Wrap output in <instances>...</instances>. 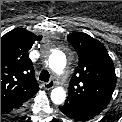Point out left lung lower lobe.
I'll return each instance as SVG.
<instances>
[{
	"instance_id": "obj_1",
	"label": "left lung lower lobe",
	"mask_w": 122,
	"mask_h": 122,
	"mask_svg": "<svg viewBox=\"0 0 122 122\" xmlns=\"http://www.w3.org/2000/svg\"><path fill=\"white\" fill-rule=\"evenodd\" d=\"M59 109L63 114L77 121H87L96 115L86 109L67 102H65L63 106H60Z\"/></svg>"
}]
</instances>
